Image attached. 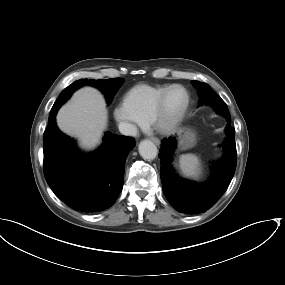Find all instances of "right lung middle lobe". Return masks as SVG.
<instances>
[{
	"instance_id": "right-lung-middle-lobe-1",
	"label": "right lung middle lobe",
	"mask_w": 285,
	"mask_h": 285,
	"mask_svg": "<svg viewBox=\"0 0 285 285\" xmlns=\"http://www.w3.org/2000/svg\"><path fill=\"white\" fill-rule=\"evenodd\" d=\"M123 79L121 78H112V79H99V80H88V79H80L75 81L67 88H65L62 93L59 95L57 100L55 101L51 113L49 116V121L57 112L58 108L66 102V100L71 96V94L81 86L91 85L100 89L106 96L107 104L109 105L112 102V99L120 86L122 85Z\"/></svg>"
}]
</instances>
